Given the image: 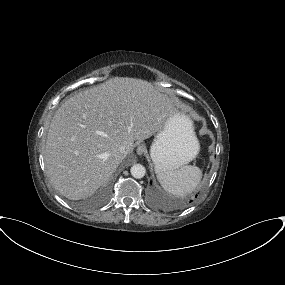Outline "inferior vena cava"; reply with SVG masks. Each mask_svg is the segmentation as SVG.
Masks as SVG:
<instances>
[{
  "label": "inferior vena cava",
  "mask_w": 285,
  "mask_h": 285,
  "mask_svg": "<svg viewBox=\"0 0 285 285\" xmlns=\"http://www.w3.org/2000/svg\"><path fill=\"white\" fill-rule=\"evenodd\" d=\"M119 155L121 158H124L127 155V149L125 146L119 148Z\"/></svg>",
  "instance_id": "1"
}]
</instances>
